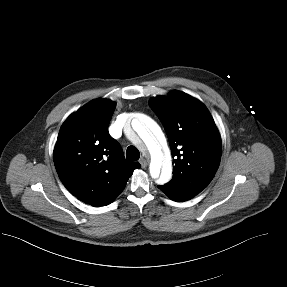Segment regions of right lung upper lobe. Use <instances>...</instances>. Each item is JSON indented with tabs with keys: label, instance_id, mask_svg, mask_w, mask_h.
Wrapping results in <instances>:
<instances>
[{
	"label": "right lung upper lobe",
	"instance_id": "1",
	"mask_svg": "<svg viewBox=\"0 0 287 287\" xmlns=\"http://www.w3.org/2000/svg\"><path fill=\"white\" fill-rule=\"evenodd\" d=\"M116 103L93 100L70 115L60 128L54 164L66 189L94 207L106 206L123 191L137 162L124 158L108 132Z\"/></svg>",
	"mask_w": 287,
	"mask_h": 287
}]
</instances>
